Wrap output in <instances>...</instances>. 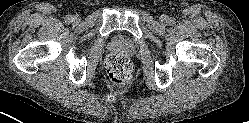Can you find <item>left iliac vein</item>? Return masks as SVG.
I'll return each instance as SVG.
<instances>
[{
  "label": "left iliac vein",
  "instance_id": "left-iliac-vein-1",
  "mask_svg": "<svg viewBox=\"0 0 249 123\" xmlns=\"http://www.w3.org/2000/svg\"><path fill=\"white\" fill-rule=\"evenodd\" d=\"M160 22L163 24V25H167L169 23V18L167 15H161L160 16Z\"/></svg>",
  "mask_w": 249,
  "mask_h": 123
}]
</instances>
